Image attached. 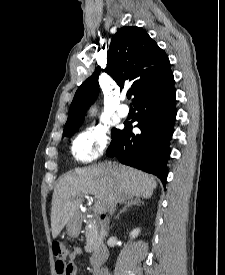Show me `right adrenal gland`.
<instances>
[{
  "mask_svg": "<svg viewBox=\"0 0 225 275\" xmlns=\"http://www.w3.org/2000/svg\"><path fill=\"white\" fill-rule=\"evenodd\" d=\"M140 197H135V198H130L128 200L127 203H125V206L123 207L122 210H120V212L117 214L116 219L119 218L120 214H122L123 212H125L127 210V208L133 206V205H140Z\"/></svg>",
  "mask_w": 225,
  "mask_h": 275,
  "instance_id": "obj_1",
  "label": "right adrenal gland"
}]
</instances>
